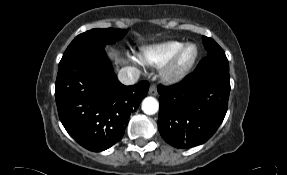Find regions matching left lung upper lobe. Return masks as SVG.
<instances>
[{
    "mask_svg": "<svg viewBox=\"0 0 287 175\" xmlns=\"http://www.w3.org/2000/svg\"><path fill=\"white\" fill-rule=\"evenodd\" d=\"M203 44L208 51L207 57L201 60L194 72L196 74L221 72L229 75V63L223 49L209 37L203 36Z\"/></svg>",
    "mask_w": 287,
    "mask_h": 175,
    "instance_id": "left-lung-upper-lobe-1",
    "label": "left lung upper lobe"
}]
</instances>
